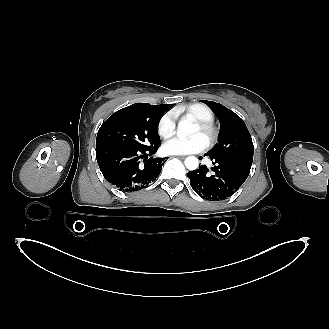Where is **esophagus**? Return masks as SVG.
Here are the masks:
<instances>
[{"label":"esophagus","instance_id":"34e87169","mask_svg":"<svg viewBox=\"0 0 329 329\" xmlns=\"http://www.w3.org/2000/svg\"><path fill=\"white\" fill-rule=\"evenodd\" d=\"M176 157H178L180 159H184L185 158V156H176Z\"/></svg>","mask_w":329,"mask_h":329}]
</instances>
